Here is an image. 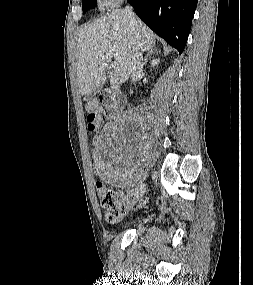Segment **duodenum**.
<instances>
[{"instance_id":"obj_1","label":"duodenum","mask_w":253,"mask_h":285,"mask_svg":"<svg viewBox=\"0 0 253 285\" xmlns=\"http://www.w3.org/2000/svg\"><path fill=\"white\" fill-rule=\"evenodd\" d=\"M102 102L106 107V115L110 118L115 117L126 106L125 96L115 86L103 93Z\"/></svg>"}]
</instances>
